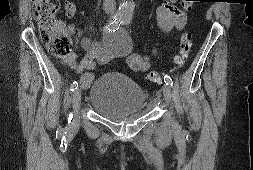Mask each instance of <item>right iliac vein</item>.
I'll return each mask as SVG.
<instances>
[{
  "mask_svg": "<svg viewBox=\"0 0 253 170\" xmlns=\"http://www.w3.org/2000/svg\"><path fill=\"white\" fill-rule=\"evenodd\" d=\"M72 103H73V109L75 113V121L77 122L79 119L80 104H81V89L80 88H77L74 90V93L72 96Z\"/></svg>",
  "mask_w": 253,
  "mask_h": 170,
  "instance_id": "right-iliac-vein-1",
  "label": "right iliac vein"
}]
</instances>
